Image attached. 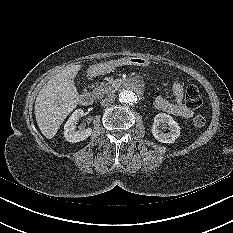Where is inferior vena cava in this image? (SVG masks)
Returning <instances> with one entry per match:
<instances>
[{"label": "inferior vena cava", "mask_w": 233, "mask_h": 233, "mask_svg": "<svg viewBox=\"0 0 233 233\" xmlns=\"http://www.w3.org/2000/svg\"><path fill=\"white\" fill-rule=\"evenodd\" d=\"M115 101V96L114 95H109L105 99H103L100 103L102 106H108L112 104Z\"/></svg>", "instance_id": "602c4592"}]
</instances>
